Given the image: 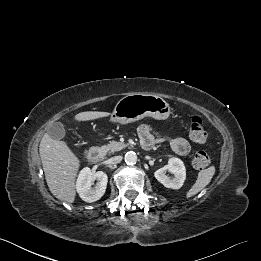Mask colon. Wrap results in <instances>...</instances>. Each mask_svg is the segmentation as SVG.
Masks as SVG:
<instances>
[{
    "instance_id": "5ec220e1",
    "label": "colon",
    "mask_w": 261,
    "mask_h": 261,
    "mask_svg": "<svg viewBox=\"0 0 261 261\" xmlns=\"http://www.w3.org/2000/svg\"><path fill=\"white\" fill-rule=\"evenodd\" d=\"M190 139L194 143H203L206 140L207 133L204 123L200 117H193L189 126ZM210 156L204 151H198L194 156V164L199 168L209 165Z\"/></svg>"
}]
</instances>
